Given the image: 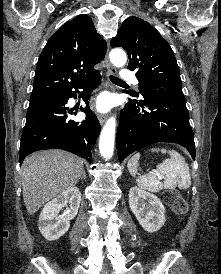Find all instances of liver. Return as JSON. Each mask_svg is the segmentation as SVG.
<instances>
[{"label":"liver","instance_id":"liver-1","mask_svg":"<svg viewBox=\"0 0 221 274\" xmlns=\"http://www.w3.org/2000/svg\"><path fill=\"white\" fill-rule=\"evenodd\" d=\"M82 160L62 150L35 152L22 164V194L29 214L73 188L82 176Z\"/></svg>","mask_w":221,"mask_h":274}]
</instances>
